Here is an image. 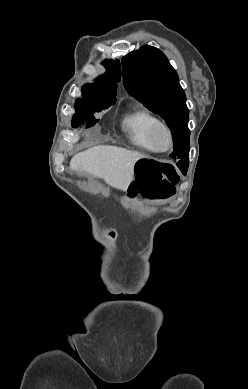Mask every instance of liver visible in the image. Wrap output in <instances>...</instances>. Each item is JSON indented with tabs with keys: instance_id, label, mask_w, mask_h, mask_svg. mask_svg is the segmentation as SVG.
<instances>
[{
	"instance_id": "6515ba94",
	"label": "liver",
	"mask_w": 248,
	"mask_h": 389,
	"mask_svg": "<svg viewBox=\"0 0 248 389\" xmlns=\"http://www.w3.org/2000/svg\"><path fill=\"white\" fill-rule=\"evenodd\" d=\"M145 157L125 148L99 145L74 155L70 169L80 175L102 178L110 186L125 191L133 180L135 163Z\"/></svg>"
}]
</instances>
